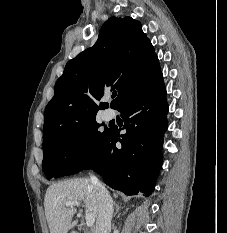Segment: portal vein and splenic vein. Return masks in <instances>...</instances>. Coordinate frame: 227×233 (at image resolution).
I'll use <instances>...</instances> for the list:
<instances>
[{
    "label": "portal vein and splenic vein",
    "instance_id": "1",
    "mask_svg": "<svg viewBox=\"0 0 227 233\" xmlns=\"http://www.w3.org/2000/svg\"><path fill=\"white\" fill-rule=\"evenodd\" d=\"M65 205L67 207H70V206H80V203L78 201H68L65 203ZM86 225L88 227H91L93 226L94 222H95V217L93 216V214L91 213H86Z\"/></svg>",
    "mask_w": 227,
    "mask_h": 233
}]
</instances>
